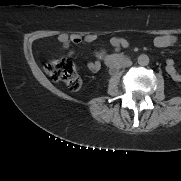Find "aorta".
I'll list each match as a JSON object with an SVG mask.
<instances>
[{
  "label": "aorta",
  "mask_w": 181,
  "mask_h": 181,
  "mask_svg": "<svg viewBox=\"0 0 181 181\" xmlns=\"http://www.w3.org/2000/svg\"><path fill=\"white\" fill-rule=\"evenodd\" d=\"M137 62L140 66H147L149 64V57L146 54H141L137 58Z\"/></svg>",
  "instance_id": "aorta-1"
}]
</instances>
